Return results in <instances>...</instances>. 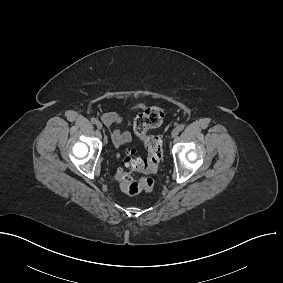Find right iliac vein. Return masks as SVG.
Masks as SVG:
<instances>
[{
    "label": "right iliac vein",
    "mask_w": 283,
    "mask_h": 283,
    "mask_svg": "<svg viewBox=\"0 0 283 283\" xmlns=\"http://www.w3.org/2000/svg\"><path fill=\"white\" fill-rule=\"evenodd\" d=\"M96 125H97L98 129H102V127H103L101 122H98Z\"/></svg>",
    "instance_id": "obj_1"
}]
</instances>
